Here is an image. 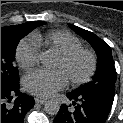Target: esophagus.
Instances as JSON below:
<instances>
[{"instance_id":"1","label":"esophagus","mask_w":123,"mask_h":123,"mask_svg":"<svg viewBox=\"0 0 123 123\" xmlns=\"http://www.w3.org/2000/svg\"><path fill=\"white\" fill-rule=\"evenodd\" d=\"M35 102H36L37 104H45V103H46V100H44V99H39V98H35Z\"/></svg>"}]
</instances>
